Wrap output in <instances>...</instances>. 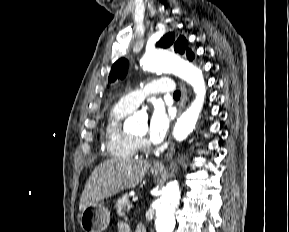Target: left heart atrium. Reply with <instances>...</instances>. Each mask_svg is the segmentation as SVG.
Here are the masks:
<instances>
[{"instance_id":"1","label":"left heart atrium","mask_w":289,"mask_h":232,"mask_svg":"<svg viewBox=\"0 0 289 232\" xmlns=\"http://www.w3.org/2000/svg\"><path fill=\"white\" fill-rule=\"evenodd\" d=\"M171 123V116L165 111L161 104L153 106L149 123H148V136L151 142L161 143L168 132Z\"/></svg>"}]
</instances>
